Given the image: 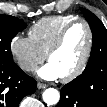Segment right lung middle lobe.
<instances>
[{"mask_svg": "<svg viewBox=\"0 0 107 107\" xmlns=\"http://www.w3.org/2000/svg\"><path fill=\"white\" fill-rule=\"evenodd\" d=\"M26 26V23L16 17L0 15V65L14 64L10 49L11 41Z\"/></svg>", "mask_w": 107, "mask_h": 107, "instance_id": "obj_1", "label": "right lung middle lobe"}]
</instances>
